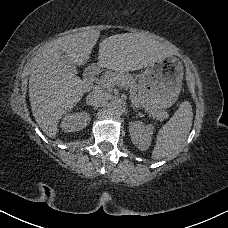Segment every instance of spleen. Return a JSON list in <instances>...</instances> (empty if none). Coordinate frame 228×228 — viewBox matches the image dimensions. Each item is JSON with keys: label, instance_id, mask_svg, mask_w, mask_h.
Listing matches in <instances>:
<instances>
[{"label": "spleen", "instance_id": "obj_1", "mask_svg": "<svg viewBox=\"0 0 228 228\" xmlns=\"http://www.w3.org/2000/svg\"><path fill=\"white\" fill-rule=\"evenodd\" d=\"M193 121L192 106L188 101L182 102L170 120L158 131L152 158L174 159L190 132Z\"/></svg>", "mask_w": 228, "mask_h": 228}]
</instances>
